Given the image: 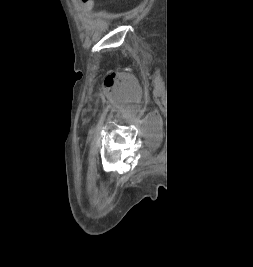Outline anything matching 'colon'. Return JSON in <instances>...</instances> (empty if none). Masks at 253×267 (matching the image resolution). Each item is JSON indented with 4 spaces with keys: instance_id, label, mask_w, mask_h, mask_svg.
<instances>
[{
    "instance_id": "colon-1",
    "label": "colon",
    "mask_w": 253,
    "mask_h": 267,
    "mask_svg": "<svg viewBox=\"0 0 253 267\" xmlns=\"http://www.w3.org/2000/svg\"><path fill=\"white\" fill-rule=\"evenodd\" d=\"M83 4L87 5L88 7H92L93 1L92 0H81Z\"/></svg>"
}]
</instances>
